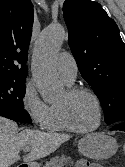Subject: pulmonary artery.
<instances>
[{
	"label": "pulmonary artery",
	"instance_id": "obj_1",
	"mask_svg": "<svg viewBox=\"0 0 125 167\" xmlns=\"http://www.w3.org/2000/svg\"><path fill=\"white\" fill-rule=\"evenodd\" d=\"M56 66L59 74L67 84H72L77 76V64L74 57L67 52L58 55Z\"/></svg>",
	"mask_w": 125,
	"mask_h": 167
}]
</instances>
